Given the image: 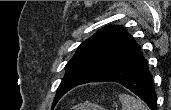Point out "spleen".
I'll list each match as a JSON object with an SVG mask.
<instances>
[{"mask_svg": "<svg viewBox=\"0 0 171 110\" xmlns=\"http://www.w3.org/2000/svg\"><path fill=\"white\" fill-rule=\"evenodd\" d=\"M119 100L122 104V110H148L142 100L129 94H120Z\"/></svg>", "mask_w": 171, "mask_h": 110, "instance_id": "3e777b00", "label": "spleen"}]
</instances>
